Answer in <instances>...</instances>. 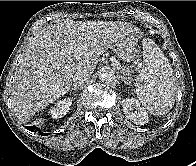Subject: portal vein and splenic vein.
Wrapping results in <instances>:
<instances>
[{"label":"portal vein and splenic vein","mask_w":196,"mask_h":166,"mask_svg":"<svg viewBox=\"0 0 196 166\" xmlns=\"http://www.w3.org/2000/svg\"><path fill=\"white\" fill-rule=\"evenodd\" d=\"M82 55V48L78 49V56ZM115 60V59H114ZM124 69L129 68L128 66H122Z\"/></svg>","instance_id":"obj_1"}]
</instances>
